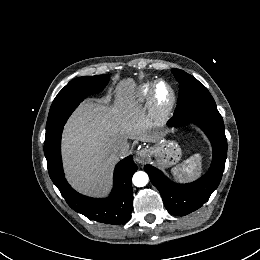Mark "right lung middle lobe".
Wrapping results in <instances>:
<instances>
[{
    "mask_svg": "<svg viewBox=\"0 0 260 260\" xmlns=\"http://www.w3.org/2000/svg\"><path fill=\"white\" fill-rule=\"evenodd\" d=\"M108 81V75H97L79 77L69 82L51 105L45 139H51L63 127L78 104L88 95L104 89Z\"/></svg>",
    "mask_w": 260,
    "mask_h": 260,
    "instance_id": "dd1d6c3e",
    "label": "right lung middle lobe"
}]
</instances>
